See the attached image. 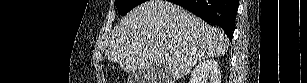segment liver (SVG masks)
I'll list each match as a JSON object with an SVG mask.
<instances>
[{
	"instance_id": "obj_1",
	"label": "liver",
	"mask_w": 307,
	"mask_h": 83,
	"mask_svg": "<svg viewBox=\"0 0 307 83\" xmlns=\"http://www.w3.org/2000/svg\"><path fill=\"white\" fill-rule=\"evenodd\" d=\"M228 46V37L220 28L209 26L170 2L149 0L112 30L105 56L130 73L162 68L170 77L165 83H173L187 75L198 61L225 54Z\"/></svg>"
}]
</instances>
